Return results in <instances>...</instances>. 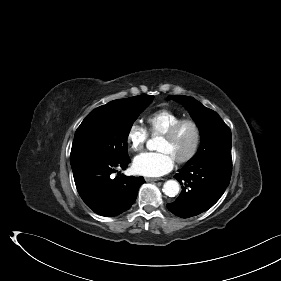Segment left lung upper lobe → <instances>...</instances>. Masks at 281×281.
<instances>
[{
	"mask_svg": "<svg viewBox=\"0 0 281 281\" xmlns=\"http://www.w3.org/2000/svg\"><path fill=\"white\" fill-rule=\"evenodd\" d=\"M167 100L183 103L200 129L201 147L187 164L208 158L231 159V131L216 112L189 96L172 95Z\"/></svg>",
	"mask_w": 281,
	"mask_h": 281,
	"instance_id": "5c2ea615",
	"label": "left lung upper lobe"
}]
</instances>
